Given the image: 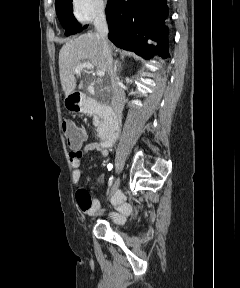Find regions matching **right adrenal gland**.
<instances>
[{"mask_svg":"<svg viewBox=\"0 0 240 288\" xmlns=\"http://www.w3.org/2000/svg\"><path fill=\"white\" fill-rule=\"evenodd\" d=\"M121 67V63L119 61H116L115 64H114V69L115 71H117L118 68Z\"/></svg>","mask_w":240,"mask_h":288,"instance_id":"right-adrenal-gland-1","label":"right adrenal gland"}]
</instances>
